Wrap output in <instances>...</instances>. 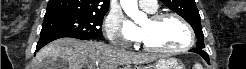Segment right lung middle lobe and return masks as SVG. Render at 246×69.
Segmentation results:
<instances>
[{"label":"right lung middle lobe","mask_w":246,"mask_h":69,"mask_svg":"<svg viewBox=\"0 0 246 69\" xmlns=\"http://www.w3.org/2000/svg\"><path fill=\"white\" fill-rule=\"evenodd\" d=\"M104 15L65 14L44 17L40 36L66 35L80 39H101Z\"/></svg>","instance_id":"dd1d6c3e"}]
</instances>
